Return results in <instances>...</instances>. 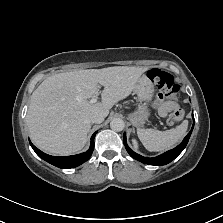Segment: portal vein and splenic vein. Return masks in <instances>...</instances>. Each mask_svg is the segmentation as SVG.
Instances as JSON below:
<instances>
[{
	"instance_id": "1",
	"label": "portal vein and splenic vein",
	"mask_w": 223,
	"mask_h": 223,
	"mask_svg": "<svg viewBox=\"0 0 223 223\" xmlns=\"http://www.w3.org/2000/svg\"><path fill=\"white\" fill-rule=\"evenodd\" d=\"M96 102H97V96L92 97L91 100H90V103L93 104V103H96ZM153 129L154 130H157L158 129V126L157 125H154L153 126Z\"/></svg>"
}]
</instances>
